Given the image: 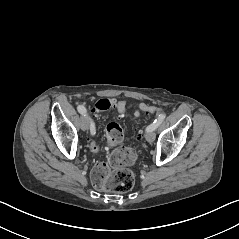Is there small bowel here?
Wrapping results in <instances>:
<instances>
[{
	"label": "small bowel",
	"instance_id": "c3829d8e",
	"mask_svg": "<svg viewBox=\"0 0 239 239\" xmlns=\"http://www.w3.org/2000/svg\"><path fill=\"white\" fill-rule=\"evenodd\" d=\"M114 104H115V109L122 115L125 114L128 105L124 102V101H120V100H116V99H112ZM140 115L139 111L136 110L133 114V117H138Z\"/></svg>",
	"mask_w": 239,
	"mask_h": 239
}]
</instances>
